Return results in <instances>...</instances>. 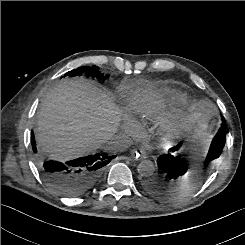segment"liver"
I'll return each mask as SVG.
<instances>
[{
	"instance_id": "liver-1",
	"label": "liver",
	"mask_w": 245,
	"mask_h": 245,
	"mask_svg": "<svg viewBox=\"0 0 245 245\" xmlns=\"http://www.w3.org/2000/svg\"><path fill=\"white\" fill-rule=\"evenodd\" d=\"M147 91L140 97L146 98ZM202 104L198 108L201 109ZM149 115L155 113L147 108ZM160 112L156 124L166 136L177 134L193 115ZM119 112L111 98L83 79H66L51 89L37 113L38 146L56 160H70L97 149L116 132Z\"/></svg>"
}]
</instances>
